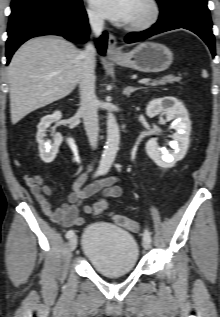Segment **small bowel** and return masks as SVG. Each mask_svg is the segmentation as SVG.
Listing matches in <instances>:
<instances>
[{
	"label": "small bowel",
	"instance_id": "1",
	"mask_svg": "<svg viewBox=\"0 0 220 317\" xmlns=\"http://www.w3.org/2000/svg\"><path fill=\"white\" fill-rule=\"evenodd\" d=\"M91 169L81 173L72 184V192L68 196V202L53 208L47 197L51 195L52 191L47 186L42 177L34 175L33 177H25V182L30 188L40 204L44 214L48 216L54 223H58L63 227L79 226L84 223V218L80 215V209L84 200L92 197L98 192H101L102 198L93 205H84L82 210L86 214H93L97 211L99 206L105 209V199L116 198L122 195V188L116 184L115 177H109L87 186H83L87 180Z\"/></svg>",
	"mask_w": 220,
	"mask_h": 317
}]
</instances>
